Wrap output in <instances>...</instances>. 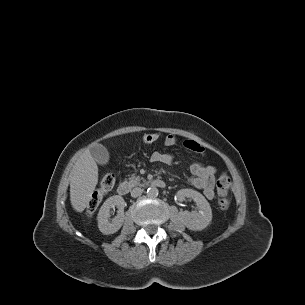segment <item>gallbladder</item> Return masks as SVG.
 <instances>
[{
    "mask_svg": "<svg viewBox=\"0 0 305 305\" xmlns=\"http://www.w3.org/2000/svg\"><path fill=\"white\" fill-rule=\"evenodd\" d=\"M89 150L92 157L98 164L106 165L109 162V152L103 145H92Z\"/></svg>",
    "mask_w": 305,
    "mask_h": 305,
    "instance_id": "obj_1",
    "label": "gallbladder"
}]
</instances>
